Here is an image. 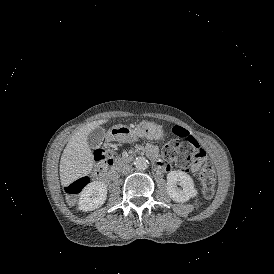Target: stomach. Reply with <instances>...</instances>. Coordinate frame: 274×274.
<instances>
[{"instance_id": "0dacf381", "label": "stomach", "mask_w": 274, "mask_h": 274, "mask_svg": "<svg viewBox=\"0 0 274 274\" xmlns=\"http://www.w3.org/2000/svg\"><path fill=\"white\" fill-rule=\"evenodd\" d=\"M161 135V130L155 124L150 122H141L136 130H133L126 125H115L107 133V140H117L121 142H129L135 139L136 136L146 137L148 139H158Z\"/></svg>"}]
</instances>
